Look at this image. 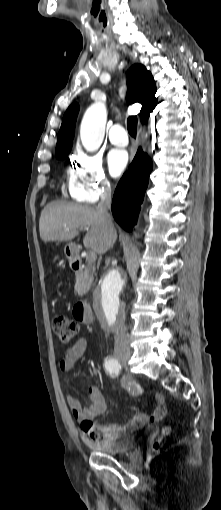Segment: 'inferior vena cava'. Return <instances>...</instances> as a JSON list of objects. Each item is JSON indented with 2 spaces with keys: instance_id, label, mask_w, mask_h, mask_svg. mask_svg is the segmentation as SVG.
Wrapping results in <instances>:
<instances>
[{
  "instance_id": "1",
  "label": "inferior vena cava",
  "mask_w": 221,
  "mask_h": 510,
  "mask_svg": "<svg viewBox=\"0 0 221 510\" xmlns=\"http://www.w3.org/2000/svg\"><path fill=\"white\" fill-rule=\"evenodd\" d=\"M111 207V187L110 185H106L104 191L101 194V200L96 207L97 212L100 214L102 221L106 228L109 230H113L114 226L112 224L111 216L108 210ZM127 328L123 323H118L115 327V344L114 351L115 352H130L128 338L126 336Z\"/></svg>"
}]
</instances>
